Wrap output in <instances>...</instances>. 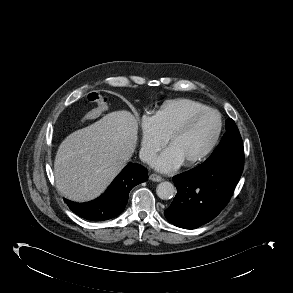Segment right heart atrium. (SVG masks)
Segmentation results:
<instances>
[{"label":"right heart atrium","instance_id":"1","mask_svg":"<svg viewBox=\"0 0 293 293\" xmlns=\"http://www.w3.org/2000/svg\"><path fill=\"white\" fill-rule=\"evenodd\" d=\"M140 128V155L145 162H150L165 144L166 138L157 129L153 115H143L140 120Z\"/></svg>","mask_w":293,"mask_h":293}]
</instances>
